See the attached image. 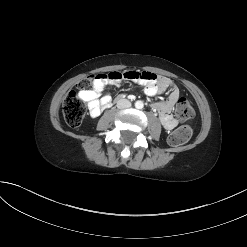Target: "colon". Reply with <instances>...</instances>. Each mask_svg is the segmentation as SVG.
<instances>
[{"instance_id":"5ec220e1","label":"colon","mask_w":247,"mask_h":247,"mask_svg":"<svg viewBox=\"0 0 247 247\" xmlns=\"http://www.w3.org/2000/svg\"><path fill=\"white\" fill-rule=\"evenodd\" d=\"M102 77L101 74L91 75L80 81L77 87L80 90H89L95 81ZM85 113L86 110L83 100L75 91H71L63 102V115L66 123L72 128L79 127L85 117ZM175 115L178 119L185 121L193 118L195 111L187 99L180 98L176 104ZM191 135V128L188 125H182L169 135L168 142L172 146L183 145L190 139Z\"/></svg>"}]
</instances>
